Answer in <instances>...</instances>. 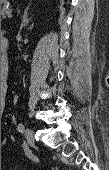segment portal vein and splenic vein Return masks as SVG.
<instances>
[{"label":"portal vein and splenic vein","mask_w":109,"mask_h":170,"mask_svg":"<svg viewBox=\"0 0 109 170\" xmlns=\"http://www.w3.org/2000/svg\"><path fill=\"white\" fill-rule=\"evenodd\" d=\"M12 17V14L10 13L9 15H8V18H11Z\"/></svg>","instance_id":"portal-vein-and-splenic-vein-1"}]
</instances>
